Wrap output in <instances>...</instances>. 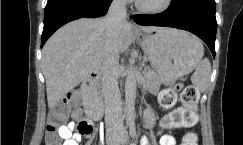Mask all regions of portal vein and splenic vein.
I'll return each mask as SVG.
<instances>
[{"label": "portal vein and splenic vein", "mask_w": 243, "mask_h": 145, "mask_svg": "<svg viewBox=\"0 0 243 145\" xmlns=\"http://www.w3.org/2000/svg\"><path fill=\"white\" fill-rule=\"evenodd\" d=\"M150 75H151L150 72H148V73L145 74L146 77H148V76H150Z\"/></svg>", "instance_id": "18ae733b"}]
</instances>
